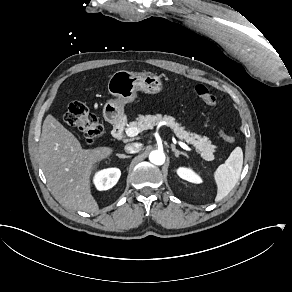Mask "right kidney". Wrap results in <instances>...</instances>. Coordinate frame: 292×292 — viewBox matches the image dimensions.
Here are the masks:
<instances>
[{"label":"right kidney","instance_id":"ca27d5eb","mask_svg":"<svg viewBox=\"0 0 292 292\" xmlns=\"http://www.w3.org/2000/svg\"><path fill=\"white\" fill-rule=\"evenodd\" d=\"M121 171L118 168H107L98 171L93 179L97 190H108L112 188L119 180Z\"/></svg>","mask_w":292,"mask_h":292}]
</instances>
